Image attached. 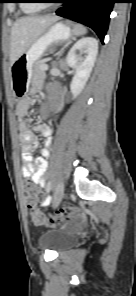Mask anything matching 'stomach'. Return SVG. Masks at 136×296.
Here are the masks:
<instances>
[{
	"label": "stomach",
	"instance_id": "0dacf381",
	"mask_svg": "<svg viewBox=\"0 0 136 296\" xmlns=\"http://www.w3.org/2000/svg\"><path fill=\"white\" fill-rule=\"evenodd\" d=\"M72 31L63 23L52 25L12 64L14 84H28L35 72L38 60L47 49L56 43L69 40ZM14 98H25L26 90L30 85H13Z\"/></svg>",
	"mask_w": 136,
	"mask_h": 296
}]
</instances>
